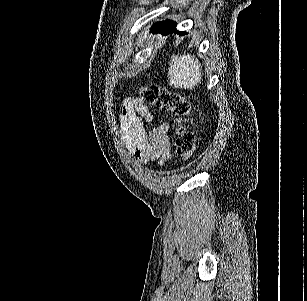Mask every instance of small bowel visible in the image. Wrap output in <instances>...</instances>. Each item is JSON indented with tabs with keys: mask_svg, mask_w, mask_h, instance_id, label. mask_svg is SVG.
<instances>
[{
	"mask_svg": "<svg viewBox=\"0 0 307 301\" xmlns=\"http://www.w3.org/2000/svg\"><path fill=\"white\" fill-rule=\"evenodd\" d=\"M153 118L143 99L126 98L120 112L121 139L137 162L161 165L170 158L169 125L163 122L148 131L145 123Z\"/></svg>",
	"mask_w": 307,
	"mask_h": 301,
	"instance_id": "obj_1",
	"label": "small bowel"
}]
</instances>
